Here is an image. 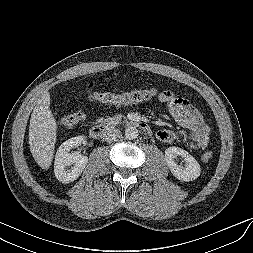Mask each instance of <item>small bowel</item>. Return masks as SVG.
I'll use <instances>...</instances> for the list:
<instances>
[{"label": "small bowel", "instance_id": "small-bowel-1", "mask_svg": "<svg viewBox=\"0 0 253 253\" xmlns=\"http://www.w3.org/2000/svg\"><path fill=\"white\" fill-rule=\"evenodd\" d=\"M158 100L166 106L172 118L188 130L185 139L189 146L194 150L204 149L209 140L210 128L190 101L169 90L161 92ZM156 137L159 141L168 143L176 139L178 134L172 130H159Z\"/></svg>", "mask_w": 253, "mask_h": 253}]
</instances>
